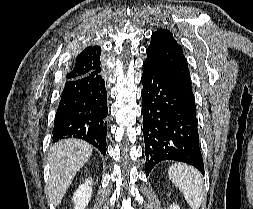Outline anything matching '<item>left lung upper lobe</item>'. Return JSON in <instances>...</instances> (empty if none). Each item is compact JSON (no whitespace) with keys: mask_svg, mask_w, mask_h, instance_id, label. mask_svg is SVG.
<instances>
[{"mask_svg":"<svg viewBox=\"0 0 253 209\" xmlns=\"http://www.w3.org/2000/svg\"><path fill=\"white\" fill-rule=\"evenodd\" d=\"M146 52V61L167 71L196 111L187 60L173 34L166 29L157 30L151 35V42Z\"/></svg>","mask_w":253,"mask_h":209,"instance_id":"left-lung-upper-lobe-1","label":"left lung upper lobe"}]
</instances>
